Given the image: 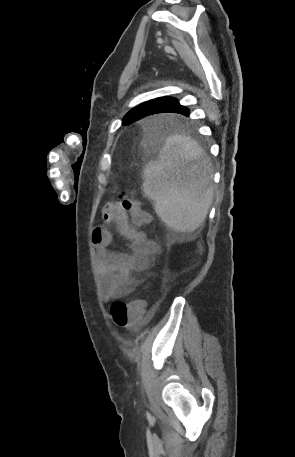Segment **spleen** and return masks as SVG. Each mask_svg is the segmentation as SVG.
<instances>
[{
  "mask_svg": "<svg viewBox=\"0 0 295 457\" xmlns=\"http://www.w3.org/2000/svg\"><path fill=\"white\" fill-rule=\"evenodd\" d=\"M202 155L191 137L175 135L145 165L142 190L160 219L177 232L195 231L212 204L211 176Z\"/></svg>",
  "mask_w": 295,
  "mask_h": 457,
  "instance_id": "obj_1",
  "label": "spleen"
}]
</instances>
